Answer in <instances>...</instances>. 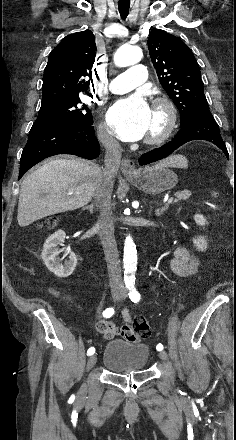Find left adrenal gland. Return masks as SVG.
I'll return each mask as SVG.
<instances>
[{"instance_id":"left-adrenal-gland-1","label":"left adrenal gland","mask_w":236,"mask_h":440,"mask_svg":"<svg viewBox=\"0 0 236 440\" xmlns=\"http://www.w3.org/2000/svg\"><path fill=\"white\" fill-rule=\"evenodd\" d=\"M168 204H166L164 207L155 210V214L156 216H161L167 209H168Z\"/></svg>"}]
</instances>
